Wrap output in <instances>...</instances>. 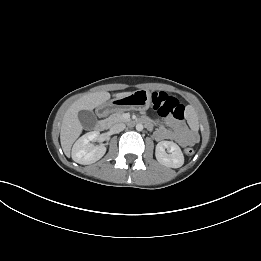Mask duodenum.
<instances>
[{
	"mask_svg": "<svg viewBox=\"0 0 261 261\" xmlns=\"http://www.w3.org/2000/svg\"><path fill=\"white\" fill-rule=\"evenodd\" d=\"M110 106H102L100 109H99V113L100 114H104L106 112H108L110 110ZM96 130L98 131H102L106 128V123L103 121V120H100L98 121V123L96 124Z\"/></svg>",
	"mask_w": 261,
	"mask_h": 261,
	"instance_id": "410a0bca",
	"label": "duodenum"
}]
</instances>
